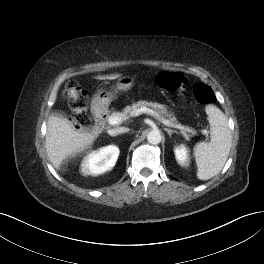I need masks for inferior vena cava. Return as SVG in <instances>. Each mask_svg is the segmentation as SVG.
<instances>
[{
  "instance_id": "1",
  "label": "inferior vena cava",
  "mask_w": 264,
  "mask_h": 264,
  "mask_svg": "<svg viewBox=\"0 0 264 264\" xmlns=\"http://www.w3.org/2000/svg\"><path fill=\"white\" fill-rule=\"evenodd\" d=\"M124 132H128V128L119 127V128L108 130V134L111 136H116V135H118L120 133H124Z\"/></svg>"
}]
</instances>
